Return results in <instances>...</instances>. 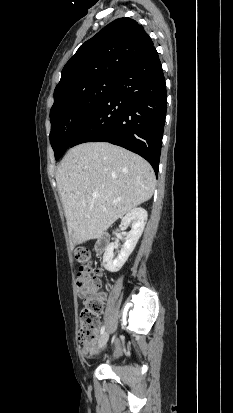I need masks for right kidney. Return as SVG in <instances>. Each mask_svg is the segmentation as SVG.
Returning a JSON list of instances; mask_svg holds the SVG:
<instances>
[{
  "mask_svg": "<svg viewBox=\"0 0 233 413\" xmlns=\"http://www.w3.org/2000/svg\"><path fill=\"white\" fill-rule=\"evenodd\" d=\"M147 217V211L144 208L137 207L133 208L122 218L120 227L125 229L128 224L132 223V229L125 234V243L116 258H114L113 253L116 248L115 243H110L107 246L103 255V266L106 270L117 272L122 268L142 235Z\"/></svg>",
  "mask_w": 233,
  "mask_h": 413,
  "instance_id": "obj_1",
  "label": "right kidney"
}]
</instances>
